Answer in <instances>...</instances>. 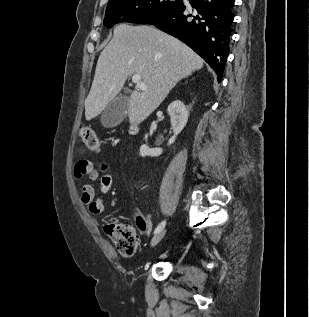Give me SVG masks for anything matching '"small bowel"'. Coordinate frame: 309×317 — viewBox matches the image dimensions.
I'll return each instance as SVG.
<instances>
[{
	"instance_id": "c3829d8e",
	"label": "small bowel",
	"mask_w": 309,
	"mask_h": 317,
	"mask_svg": "<svg viewBox=\"0 0 309 317\" xmlns=\"http://www.w3.org/2000/svg\"><path fill=\"white\" fill-rule=\"evenodd\" d=\"M73 175L76 179L84 176L89 178V182L81 189L80 200L88 207L91 214H100L104 210V196L110 191L113 178L108 172L100 174V170L88 159L80 158L73 168ZM99 180L100 187L97 193L94 182Z\"/></svg>"
}]
</instances>
